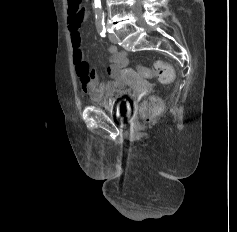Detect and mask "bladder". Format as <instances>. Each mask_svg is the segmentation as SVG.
<instances>
[{
    "label": "bladder",
    "mask_w": 237,
    "mask_h": 232,
    "mask_svg": "<svg viewBox=\"0 0 237 232\" xmlns=\"http://www.w3.org/2000/svg\"><path fill=\"white\" fill-rule=\"evenodd\" d=\"M128 96L129 91L124 90L123 93L121 94L120 99L117 100L114 104L109 105L103 103L102 106L105 109L112 110L117 117H125L131 110V102Z\"/></svg>",
    "instance_id": "obj_1"
}]
</instances>
